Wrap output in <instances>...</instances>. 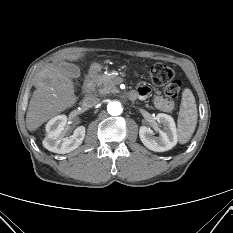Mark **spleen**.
<instances>
[{
  "label": "spleen",
  "instance_id": "spleen-1",
  "mask_svg": "<svg viewBox=\"0 0 233 233\" xmlns=\"http://www.w3.org/2000/svg\"><path fill=\"white\" fill-rule=\"evenodd\" d=\"M197 107L195 97L189 88L184 89L178 116V139L180 144L187 143L197 125Z\"/></svg>",
  "mask_w": 233,
  "mask_h": 233
}]
</instances>
